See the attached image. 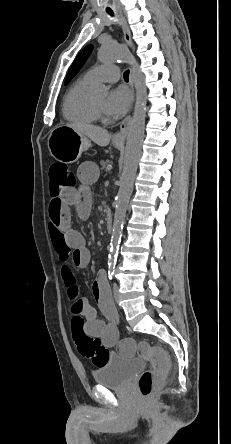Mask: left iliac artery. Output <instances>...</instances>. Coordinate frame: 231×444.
Masks as SVG:
<instances>
[{
    "mask_svg": "<svg viewBox=\"0 0 231 444\" xmlns=\"http://www.w3.org/2000/svg\"><path fill=\"white\" fill-rule=\"evenodd\" d=\"M108 274H109V279H112V278H113V275H114V268L109 267Z\"/></svg>",
    "mask_w": 231,
    "mask_h": 444,
    "instance_id": "1",
    "label": "left iliac artery"
}]
</instances>
